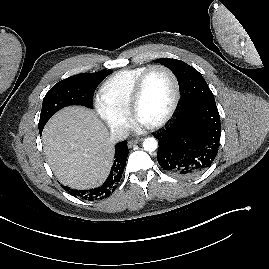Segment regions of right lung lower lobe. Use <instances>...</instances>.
Listing matches in <instances>:
<instances>
[{
	"instance_id": "98d812e1",
	"label": "right lung lower lobe",
	"mask_w": 269,
	"mask_h": 269,
	"mask_svg": "<svg viewBox=\"0 0 269 269\" xmlns=\"http://www.w3.org/2000/svg\"><path fill=\"white\" fill-rule=\"evenodd\" d=\"M40 134L42 131H39ZM128 147L126 141L118 143L115 147V160L111 167L110 174L104 184L98 188L90 190H75L69 187H64L66 191H69L75 197H80L86 200H98L107 198L117 187L120 182L125 168L127 159Z\"/></svg>"
}]
</instances>
